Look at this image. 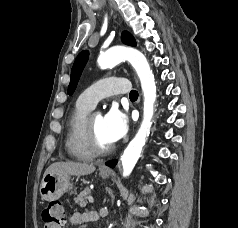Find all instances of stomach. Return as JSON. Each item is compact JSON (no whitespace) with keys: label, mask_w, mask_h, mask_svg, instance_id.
I'll use <instances>...</instances> for the list:
<instances>
[{"label":"stomach","mask_w":238,"mask_h":228,"mask_svg":"<svg viewBox=\"0 0 238 228\" xmlns=\"http://www.w3.org/2000/svg\"><path fill=\"white\" fill-rule=\"evenodd\" d=\"M100 176L106 179L110 176L109 172L100 171ZM72 189L69 175L59 173H48L43 176L40 184V195L46 201L59 199L65 192Z\"/></svg>","instance_id":"obj_1"}]
</instances>
